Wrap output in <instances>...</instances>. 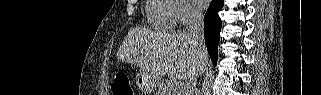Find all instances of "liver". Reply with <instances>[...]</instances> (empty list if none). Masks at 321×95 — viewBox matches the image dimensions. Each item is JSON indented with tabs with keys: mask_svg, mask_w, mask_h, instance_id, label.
Returning <instances> with one entry per match:
<instances>
[{
	"mask_svg": "<svg viewBox=\"0 0 321 95\" xmlns=\"http://www.w3.org/2000/svg\"><path fill=\"white\" fill-rule=\"evenodd\" d=\"M117 59L136 65L158 80L166 74L187 80L199 65L205 67L208 55L198 58L188 33L162 34L134 28L124 38Z\"/></svg>",
	"mask_w": 321,
	"mask_h": 95,
	"instance_id": "liver-1",
	"label": "liver"
}]
</instances>
